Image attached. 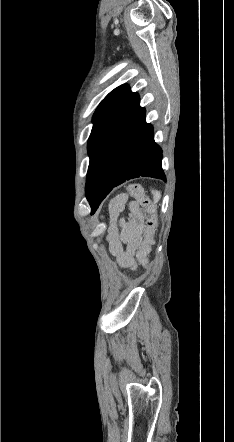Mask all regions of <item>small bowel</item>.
I'll use <instances>...</instances> for the list:
<instances>
[{"instance_id":"small-bowel-1","label":"small bowel","mask_w":234,"mask_h":442,"mask_svg":"<svg viewBox=\"0 0 234 442\" xmlns=\"http://www.w3.org/2000/svg\"><path fill=\"white\" fill-rule=\"evenodd\" d=\"M127 198L119 196L109 205L111 224L108 233V242L111 253L117 258L119 264L128 269L135 270L137 262L134 252L137 249L144 227V213L135 201L128 203V216L121 218L120 214L125 209ZM123 245H126L124 250Z\"/></svg>"}]
</instances>
